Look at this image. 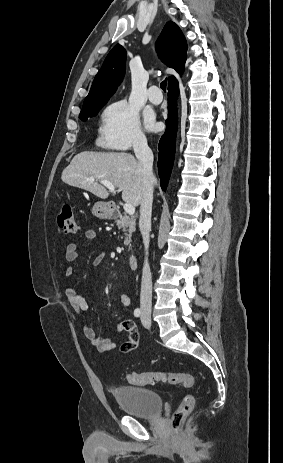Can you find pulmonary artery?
I'll list each match as a JSON object with an SVG mask.
<instances>
[{"label": "pulmonary artery", "mask_w": 283, "mask_h": 463, "mask_svg": "<svg viewBox=\"0 0 283 463\" xmlns=\"http://www.w3.org/2000/svg\"><path fill=\"white\" fill-rule=\"evenodd\" d=\"M148 99L154 105H158V104L161 103L162 96L160 94V90H159L158 86L152 85L148 89Z\"/></svg>", "instance_id": "pulmonary-artery-1"}]
</instances>
